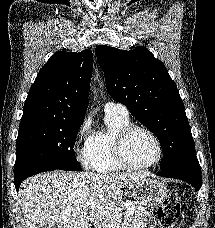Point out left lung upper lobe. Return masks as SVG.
I'll list each match as a JSON object with an SVG mask.
<instances>
[{"mask_svg":"<svg viewBox=\"0 0 215 228\" xmlns=\"http://www.w3.org/2000/svg\"><path fill=\"white\" fill-rule=\"evenodd\" d=\"M95 54L110 96L159 139L160 169L196 156L184 104L164 64L143 46L124 51L100 45Z\"/></svg>","mask_w":215,"mask_h":228,"instance_id":"5c2ea615","label":"left lung upper lobe"}]
</instances>
